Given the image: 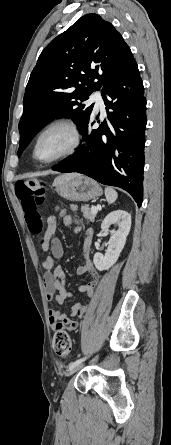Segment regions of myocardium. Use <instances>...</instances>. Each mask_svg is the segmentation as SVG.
Wrapping results in <instances>:
<instances>
[{"instance_id":"obj_1","label":"myocardium","mask_w":171,"mask_h":445,"mask_svg":"<svg viewBox=\"0 0 171 445\" xmlns=\"http://www.w3.org/2000/svg\"><path fill=\"white\" fill-rule=\"evenodd\" d=\"M54 129H65L66 131L69 132L70 134V143L67 146V148L62 151L60 154H58L57 156L48 159V160H42L38 157L37 155V147L38 144L41 140V138L48 132L54 130ZM82 141V133L81 130L79 128V126L72 120L70 119H57V120H53L50 123H48L37 135L34 144H33V150H32V154L33 157L36 161L42 163V164H52L55 162H58L70 155H72L73 153H75L77 151V149L79 148L80 144Z\"/></svg>"}]
</instances>
